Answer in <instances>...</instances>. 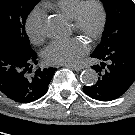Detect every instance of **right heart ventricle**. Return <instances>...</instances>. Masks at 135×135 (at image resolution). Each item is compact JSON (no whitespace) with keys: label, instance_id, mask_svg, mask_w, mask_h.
<instances>
[{"label":"right heart ventricle","instance_id":"e07e8e85","mask_svg":"<svg viewBox=\"0 0 135 135\" xmlns=\"http://www.w3.org/2000/svg\"><path fill=\"white\" fill-rule=\"evenodd\" d=\"M83 1L84 0H53L47 2L45 6L55 13L71 20Z\"/></svg>","mask_w":135,"mask_h":135}]
</instances>
